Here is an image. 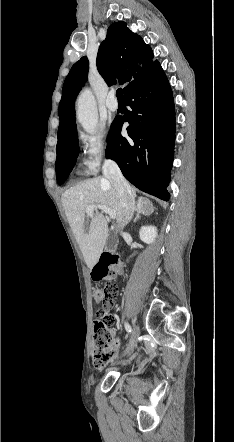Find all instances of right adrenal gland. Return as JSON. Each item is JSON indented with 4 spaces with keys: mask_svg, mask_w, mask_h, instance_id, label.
Returning a JSON list of instances; mask_svg holds the SVG:
<instances>
[{
    "mask_svg": "<svg viewBox=\"0 0 234 442\" xmlns=\"http://www.w3.org/2000/svg\"><path fill=\"white\" fill-rule=\"evenodd\" d=\"M146 203H150V202L147 199L143 198V197H139L138 198L137 208H136L137 214H136V217L133 220L134 223L137 222V220L140 218V214H144L142 208H143V205L146 204ZM150 205L152 207V204H150Z\"/></svg>",
    "mask_w": 234,
    "mask_h": 442,
    "instance_id": "2a0ac1e0",
    "label": "right adrenal gland"
}]
</instances>
